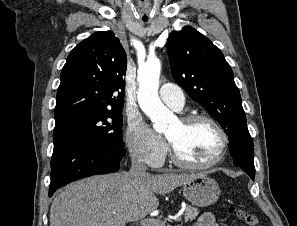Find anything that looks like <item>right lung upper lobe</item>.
Masks as SVG:
<instances>
[{
	"label": "right lung upper lobe",
	"instance_id": "obj_1",
	"mask_svg": "<svg viewBox=\"0 0 297 226\" xmlns=\"http://www.w3.org/2000/svg\"><path fill=\"white\" fill-rule=\"evenodd\" d=\"M126 68V52L112 32L83 40L62 69L55 120L84 111L122 110Z\"/></svg>",
	"mask_w": 297,
	"mask_h": 226
}]
</instances>
